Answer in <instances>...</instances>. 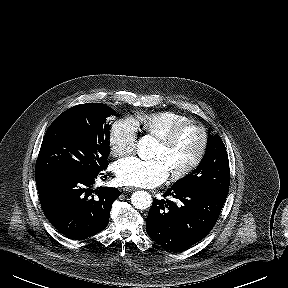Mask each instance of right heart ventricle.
Returning a JSON list of instances; mask_svg holds the SVG:
<instances>
[{
    "mask_svg": "<svg viewBox=\"0 0 288 288\" xmlns=\"http://www.w3.org/2000/svg\"><path fill=\"white\" fill-rule=\"evenodd\" d=\"M189 119L187 116L174 111H160L138 115L133 119L136 126L147 135L158 138L172 126Z\"/></svg>",
    "mask_w": 288,
    "mask_h": 288,
    "instance_id": "obj_1",
    "label": "right heart ventricle"
}]
</instances>
